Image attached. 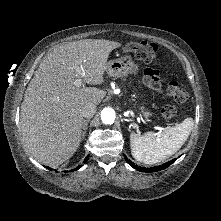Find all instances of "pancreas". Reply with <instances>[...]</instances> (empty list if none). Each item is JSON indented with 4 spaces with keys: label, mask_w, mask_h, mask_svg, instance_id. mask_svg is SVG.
<instances>
[{
    "label": "pancreas",
    "mask_w": 221,
    "mask_h": 221,
    "mask_svg": "<svg viewBox=\"0 0 221 221\" xmlns=\"http://www.w3.org/2000/svg\"><path fill=\"white\" fill-rule=\"evenodd\" d=\"M141 110H143V107H141ZM144 116L147 118V117L151 116V113H149V112H144Z\"/></svg>",
    "instance_id": "obj_1"
}]
</instances>
